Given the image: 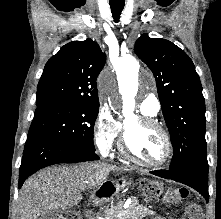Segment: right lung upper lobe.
Masks as SVG:
<instances>
[{
	"label": "right lung upper lobe",
	"instance_id": "obj_1",
	"mask_svg": "<svg viewBox=\"0 0 221 219\" xmlns=\"http://www.w3.org/2000/svg\"><path fill=\"white\" fill-rule=\"evenodd\" d=\"M105 61L106 55L91 39L64 45L45 65L36 104L46 101L99 104L96 80Z\"/></svg>",
	"mask_w": 221,
	"mask_h": 219
}]
</instances>
